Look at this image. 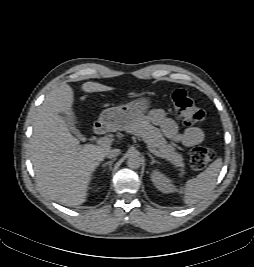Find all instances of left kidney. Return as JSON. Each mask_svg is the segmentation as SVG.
<instances>
[{
	"instance_id": "1",
	"label": "left kidney",
	"mask_w": 254,
	"mask_h": 267,
	"mask_svg": "<svg viewBox=\"0 0 254 267\" xmlns=\"http://www.w3.org/2000/svg\"><path fill=\"white\" fill-rule=\"evenodd\" d=\"M151 180L155 187L163 193H171L175 191L172 181L158 170L152 172Z\"/></svg>"
}]
</instances>
